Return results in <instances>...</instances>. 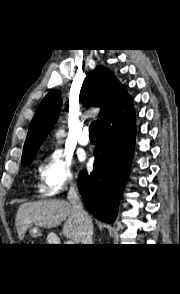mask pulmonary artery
Returning a JSON list of instances; mask_svg holds the SVG:
<instances>
[{"label": "pulmonary artery", "instance_id": "e3ab8cb5", "mask_svg": "<svg viewBox=\"0 0 180 294\" xmlns=\"http://www.w3.org/2000/svg\"><path fill=\"white\" fill-rule=\"evenodd\" d=\"M89 128L86 126L84 127L82 133L78 137V142L80 145L86 146L90 143V138H89Z\"/></svg>", "mask_w": 180, "mask_h": 294}]
</instances>
